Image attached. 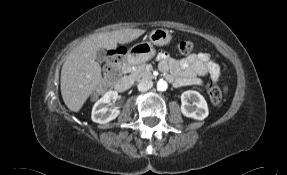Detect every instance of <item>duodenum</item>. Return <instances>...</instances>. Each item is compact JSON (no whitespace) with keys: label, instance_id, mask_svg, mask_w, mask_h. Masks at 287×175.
<instances>
[{"label":"duodenum","instance_id":"1","mask_svg":"<svg viewBox=\"0 0 287 175\" xmlns=\"http://www.w3.org/2000/svg\"><path fill=\"white\" fill-rule=\"evenodd\" d=\"M129 64H130V62H126V63L123 65V67H122L123 71H127V70H128ZM111 76H112V72H107V73L105 74V78H106L107 80H110ZM167 80H168V79H167ZM168 81H169V80H168ZM130 85H131V79H130L129 77H127V76L123 77V78L120 79V80H117L116 83H115L116 89H117L118 91H121V92L127 91V90L129 89Z\"/></svg>","mask_w":287,"mask_h":175}]
</instances>
